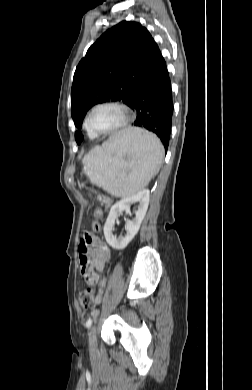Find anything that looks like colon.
Listing matches in <instances>:
<instances>
[{
	"mask_svg": "<svg viewBox=\"0 0 252 390\" xmlns=\"http://www.w3.org/2000/svg\"><path fill=\"white\" fill-rule=\"evenodd\" d=\"M102 215H103L102 211L99 208H97L94 212V220L92 223V228L95 232H99L101 229L99 220L102 218ZM86 261H87V257L83 256L82 264H81V274L85 279H88L91 272L86 266ZM79 302L84 309L92 308L95 304V296L93 292L90 289L83 290L79 295Z\"/></svg>",
	"mask_w": 252,
	"mask_h": 390,
	"instance_id": "obj_1",
	"label": "colon"
}]
</instances>
